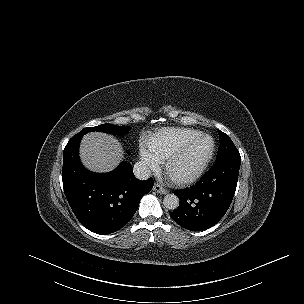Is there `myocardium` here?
Listing matches in <instances>:
<instances>
[{"instance_id": "myocardium-1", "label": "myocardium", "mask_w": 304, "mask_h": 304, "mask_svg": "<svg viewBox=\"0 0 304 304\" xmlns=\"http://www.w3.org/2000/svg\"><path fill=\"white\" fill-rule=\"evenodd\" d=\"M208 138L211 140L212 145L211 149L209 151V154L207 157L203 160V162L199 165V167L193 171L192 173L186 174V175H174L172 172L173 165L175 162L182 157L193 145H195L200 140ZM215 141L214 138L209 134H200L188 143H186L184 146H182L180 149H178L176 152H174L172 155H170L165 163V172L174 184L176 185H187L191 184L195 181H197L205 172L208 165L210 164L211 160L213 159L214 153H215Z\"/></svg>"}]
</instances>
